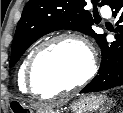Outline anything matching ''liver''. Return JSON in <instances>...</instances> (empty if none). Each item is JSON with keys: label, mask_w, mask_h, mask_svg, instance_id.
<instances>
[{"label": "liver", "mask_w": 123, "mask_h": 113, "mask_svg": "<svg viewBox=\"0 0 123 113\" xmlns=\"http://www.w3.org/2000/svg\"><path fill=\"white\" fill-rule=\"evenodd\" d=\"M63 103H65V102L64 101H61L58 104H63ZM44 108H46V109H52L53 108V105H51V104L45 105Z\"/></svg>", "instance_id": "1"}]
</instances>
